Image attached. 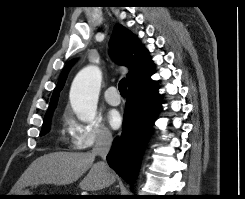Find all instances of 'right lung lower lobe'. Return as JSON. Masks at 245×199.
<instances>
[{"label": "right lung lower lobe", "mask_w": 245, "mask_h": 199, "mask_svg": "<svg viewBox=\"0 0 245 199\" xmlns=\"http://www.w3.org/2000/svg\"><path fill=\"white\" fill-rule=\"evenodd\" d=\"M160 109L156 83L144 89H128L123 130L107 155L109 166L125 181L132 183L152 125Z\"/></svg>", "instance_id": "obj_1"}]
</instances>
